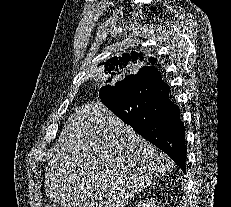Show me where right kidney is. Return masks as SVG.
Segmentation results:
<instances>
[{
  "label": "right kidney",
  "instance_id": "1",
  "mask_svg": "<svg viewBox=\"0 0 231 207\" xmlns=\"http://www.w3.org/2000/svg\"><path fill=\"white\" fill-rule=\"evenodd\" d=\"M136 207H156L155 202L152 200H146L143 202H139Z\"/></svg>",
  "mask_w": 231,
  "mask_h": 207
}]
</instances>
